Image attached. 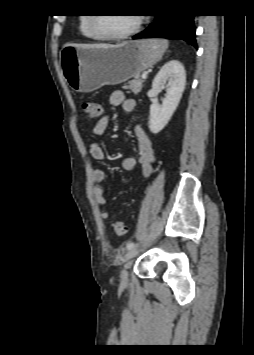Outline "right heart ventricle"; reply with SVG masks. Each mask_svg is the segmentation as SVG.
<instances>
[{
    "mask_svg": "<svg viewBox=\"0 0 254 355\" xmlns=\"http://www.w3.org/2000/svg\"><path fill=\"white\" fill-rule=\"evenodd\" d=\"M90 19L89 16L80 17L79 29L81 34L89 40H97L98 38L92 33L90 29Z\"/></svg>",
    "mask_w": 254,
    "mask_h": 355,
    "instance_id": "1",
    "label": "right heart ventricle"
}]
</instances>
